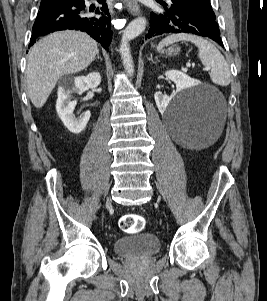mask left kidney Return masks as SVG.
<instances>
[{"mask_svg":"<svg viewBox=\"0 0 267 301\" xmlns=\"http://www.w3.org/2000/svg\"><path fill=\"white\" fill-rule=\"evenodd\" d=\"M165 76L176 84L177 91H182L189 89L194 86L195 80L190 78L188 75L182 73L181 71L171 70L165 73ZM156 105L160 111H165L172 97L163 95L161 92H157L154 95Z\"/></svg>","mask_w":267,"mask_h":301,"instance_id":"left-kidney-1","label":"left kidney"}]
</instances>
